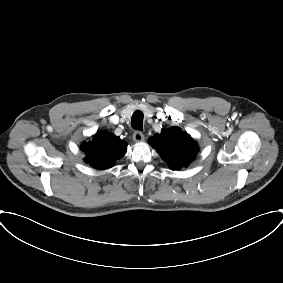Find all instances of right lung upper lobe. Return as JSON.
I'll use <instances>...</instances> for the list:
<instances>
[{
	"mask_svg": "<svg viewBox=\"0 0 283 283\" xmlns=\"http://www.w3.org/2000/svg\"><path fill=\"white\" fill-rule=\"evenodd\" d=\"M126 148V142L107 131L97 132L90 142L81 146L87 154L86 161L97 169L112 167L125 154Z\"/></svg>",
	"mask_w": 283,
	"mask_h": 283,
	"instance_id": "right-lung-upper-lobe-1",
	"label": "right lung upper lobe"
}]
</instances>
